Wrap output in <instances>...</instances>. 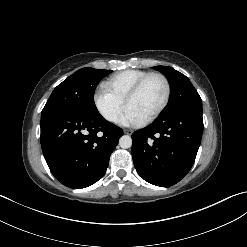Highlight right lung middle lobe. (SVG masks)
<instances>
[{
	"label": "right lung middle lobe",
	"instance_id": "dd1d6c3e",
	"mask_svg": "<svg viewBox=\"0 0 247 247\" xmlns=\"http://www.w3.org/2000/svg\"><path fill=\"white\" fill-rule=\"evenodd\" d=\"M111 72L90 67L76 71L54 89L42 112L65 108L86 114L98 113L94 91L98 82Z\"/></svg>",
	"mask_w": 247,
	"mask_h": 247
}]
</instances>
